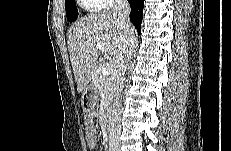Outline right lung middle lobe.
I'll return each instance as SVG.
<instances>
[{
    "label": "right lung middle lobe",
    "mask_w": 231,
    "mask_h": 151,
    "mask_svg": "<svg viewBox=\"0 0 231 151\" xmlns=\"http://www.w3.org/2000/svg\"><path fill=\"white\" fill-rule=\"evenodd\" d=\"M66 16L69 22L74 21L78 16L75 0H68L65 2Z\"/></svg>",
    "instance_id": "right-lung-middle-lobe-1"
}]
</instances>
